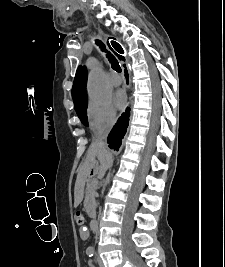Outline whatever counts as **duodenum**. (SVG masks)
<instances>
[{"mask_svg": "<svg viewBox=\"0 0 225 267\" xmlns=\"http://www.w3.org/2000/svg\"><path fill=\"white\" fill-rule=\"evenodd\" d=\"M90 225H91V229H92V230H96L97 227H98V222H97V220H96V219H92Z\"/></svg>", "mask_w": 225, "mask_h": 267, "instance_id": "duodenum-1", "label": "duodenum"}]
</instances>
